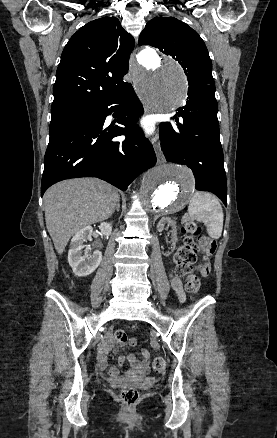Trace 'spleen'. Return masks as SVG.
<instances>
[{
    "mask_svg": "<svg viewBox=\"0 0 277 438\" xmlns=\"http://www.w3.org/2000/svg\"><path fill=\"white\" fill-rule=\"evenodd\" d=\"M190 216L194 220L204 222L210 238L218 240L222 234L223 212L215 196L208 192H195L188 206Z\"/></svg>",
    "mask_w": 277,
    "mask_h": 438,
    "instance_id": "spleen-1",
    "label": "spleen"
}]
</instances>
